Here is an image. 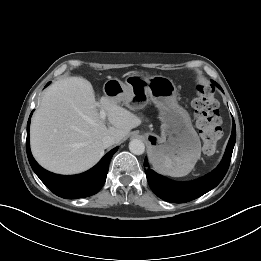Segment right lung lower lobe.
<instances>
[{"mask_svg": "<svg viewBox=\"0 0 261 261\" xmlns=\"http://www.w3.org/2000/svg\"><path fill=\"white\" fill-rule=\"evenodd\" d=\"M27 123L26 150L29 163L40 180L57 196L66 199H77L97 193L106 181L109 163L118 147L108 152L92 169L78 175L63 176L43 169L33 158L29 147V126Z\"/></svg>", "mask_w": 261, "mask_h": 261, "instance_id": "98d812e1", "label": "right lung lower lobe"}]
</instances>
